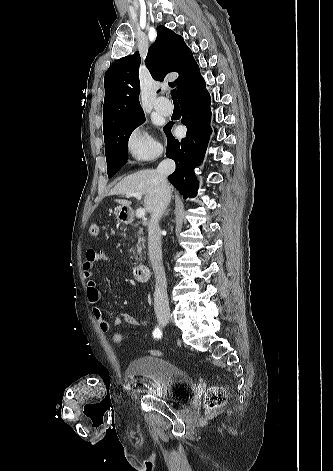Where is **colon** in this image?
<instances>
[{"label": "colon", "instance_id": "1", "mask_svg": "<svg viewBox=\"0 0 333 471\" xmlns=\"http://www.w3.org/2000/svg\"><path fill=\"white\" fill-rule=\"evenodd\" d=\"M89 233L91 236H98L99 226L93 223L89 227ZM124 334L121 332H115L112 336V341L115 345L120 346L124 342ZM152 356H160L162 353L159 350H152L150 352ZM226 402V392L221 386L211 387L205 394V404L208 410H213L221 407Z\"/></svg>", "mask_w": 333, "mask_h": 471}]
</instances>
